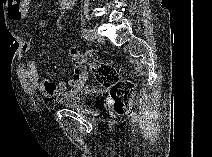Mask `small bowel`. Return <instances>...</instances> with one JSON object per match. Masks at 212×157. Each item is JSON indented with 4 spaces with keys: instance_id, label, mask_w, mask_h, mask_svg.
Instances as JSON below:
<instances>
[{
    "instance_id": "small-bowel-1",
    "label": "small bowel",
    "mask_w": 212,
    "mask_h": 157,
    "mask_svg": "<svg viewBox=\"0 0 212 157\" xmlns=\"http://www.w3.org/2000/svg\"><path fill=\"white\" fill-rule=\"evenodd\" d=\"M74 0H61L60 5L63 10H71L74 6ZM8 18L12 21H19L26 17L29 10L28 0H10L6 4ZM23 52L31 50V43L26 41L22 45ZM21 76L29 89H39L48 97H56L66 93L69 89L79 88L82 83L75 81L74 76L71 79H46L39 77L37 64L30 60L20 69Z\"/></svg>"
}]
</instances>
